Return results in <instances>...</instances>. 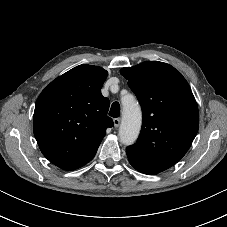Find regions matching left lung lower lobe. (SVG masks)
Returning <instances> with one entry per match:
<instances>
[{
	"label": "left lung lower lobe",
	"instance_id": "left-lung-lower-lobe-1",
	"mask_svg": "<svg viewBox=\"0 0 227 227\" xmlns=\"http://www.w3.org/2000/svg\"><path fill=\"white\" fill-rule=\"evenodd\" d=\"M135 169H137L138 171L144 173V174H148V175H154V174H157L155 172H151V171H147V170H143V169H139V168H136L134 167Z\"/></svg>",
	"mask_w": 227,
	"mask_h": 227
}]
</instances>
